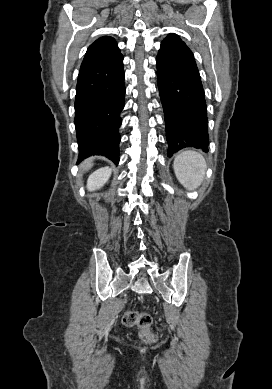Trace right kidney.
Listing matches in <instances>:
<instances>
[{
    "label": "right kidney",
    "mask_w": 272,
    "mask_h": 389,
    "mask_svg": "<svg viewBox=\"0 0 272 389\" xmlns=\"http://www.w3.org/2000/svg\"><path fill=\"white\" fill-rule=\"evenodd\" d=\"M111 168L102 167L93 172L87 180V189L94 191L103 187V185L109 180L111 176Z\"/></svg>",
    "instance_id": "1"
}]
</instances>
